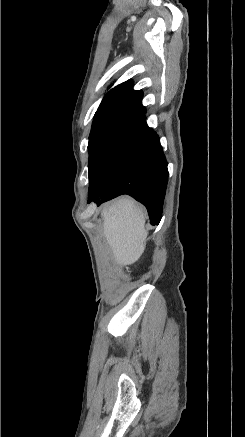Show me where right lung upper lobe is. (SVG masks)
<instances>
[{
    "label": "right lung upper lobe",
    "mask_w": 245,
    "mask_h": 437,
    "mask_svg": "<svg viewBox=\"0 0 245 437\" xmlns=\"http://www.w3.org/2000/svg\"><path fill=\"white\" fill-rule=\"evenodd\" d=\"M143 93L133 89V81H125L111 89L103 98L99 107L104 106H126L134 110L146 112L142 105Z\"/></svg>",
    "instance_id": "1"
}]
</instances>
